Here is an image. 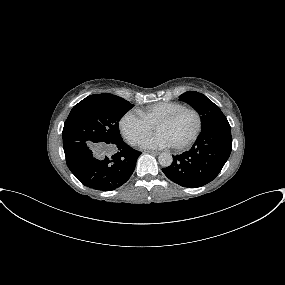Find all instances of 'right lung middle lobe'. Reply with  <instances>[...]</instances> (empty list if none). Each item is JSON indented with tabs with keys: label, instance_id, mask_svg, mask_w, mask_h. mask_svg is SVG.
Masks as SVG:
<instances>
[{
	"label": "right lung middle lobe",
	"instance_id": "dd1d6c3e",
	"mask_svg": "<svg viewBox=\"0 0 285 285\" xmlns=\"http://www.w3.org/2000/svg\"><path fill=\"white\" fill-rule=\"evenodd\" d=\"M133 107L109 93L94 94L76 104L63 128V144L71 141L114 143L122 140L119 120Z\"/></svg>",
	"mask_w": 285,
	"mask_h": 285
}]
</instances>
